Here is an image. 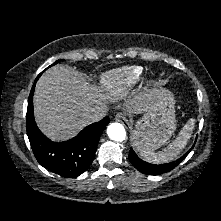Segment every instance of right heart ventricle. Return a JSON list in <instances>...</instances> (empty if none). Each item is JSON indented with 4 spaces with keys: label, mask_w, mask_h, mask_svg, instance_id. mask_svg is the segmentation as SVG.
<instances>
[{
    "label": "right heart ventricle",
    "mask_w": 221,
    "mask_h": 221,
    "mask_svg": "<svg viewBox=\"0 0 221 221\" xmlns=\"http://www.w3.org/2000/svg\"><path fill=\"white\" fill-rule=\"evenodd\" d=\"M139 66H125L106 73L102 77L103 89L111 95L119 96L128 91L142 76Z\"/></svg>",
    "instance_id": "1"
}]
</instances>
